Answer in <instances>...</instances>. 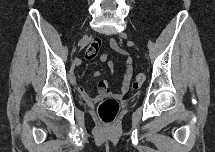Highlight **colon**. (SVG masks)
<instances>
[{"label":"colon","instance_id":"5ec220e1","mask_svg":"<svg viewBox=\"0 0 215 152\" xmlns=\"http://www.w3.org/2000/svg\"><path fill=\"white\" fill-rule=\"evenodd\" d=\"M101 48V40L98 38L93 39L88 45L85 51L86 59H94ZM145 81V76L142 73L136 75L132 87L137 90ZM120 110V105L117 99L113 97H108L102 100L98 105V116L100 120L106 124L112 123L117 117Z\"/></svg>","mask_w":215,"mask_h":152}]
</instances>
